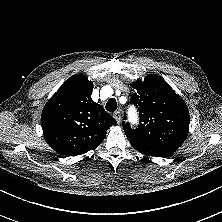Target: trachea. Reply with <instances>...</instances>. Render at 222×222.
<instances>
[{"instance_id": "obj_1", "label": "trachea", "mask_w": 222, "mask_h": 222, "mask_svg": "<svg viewBox=\"0 0 222 222\" xmlns=\"http://www.w3.org/2000/svg\"><path fill=\"white\" fill-rule=\"evenodd\" d=\"M106 110L109 112H114L117 109V102L115 98H111L108 100L105 106Z\"/></svg>"}]
</instances>
